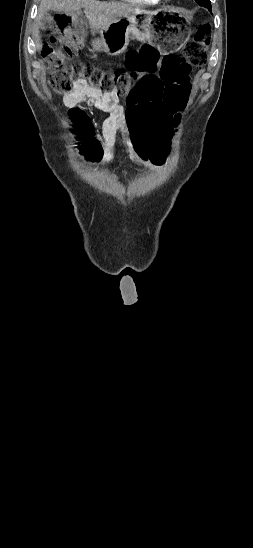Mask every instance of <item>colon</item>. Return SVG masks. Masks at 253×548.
<instances>
[{
    "label": "colon",
    "mask_w": 253,
    "mask_h": 548,
    "mask_svg": "<svg viewBox=\"0 0 253 548\" xmlns=\"http://www.w3.org/2000/svg\"><path fill=\"white\" fill-rule=\"evenodd\" d=\"M55 22L61 39L56 38L45 45L42 52L51 70L52 90L67 94L77 80L83 79L93 88L122 95V104L127 105L126 125L137 150L136 156L151 159L154 166L160 165L168 151L166 142L178 134L175 116L186 108L192 86L190 72L207 60L208 28L201 27L179 56L167 60H153L157 55L148 46L129 52L127 72L104 70L75 61L77 48L82 43V27L74 25L72 15H57ZM72 114L81 121L79 138L83 155L96 160L101 151L100 143L93 136L87 117L79 109H73Z\"/></svg>",
    "instance_id": "colon-1"
}]
</instances>
